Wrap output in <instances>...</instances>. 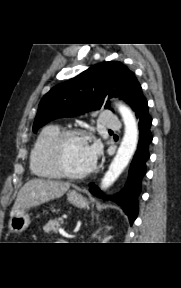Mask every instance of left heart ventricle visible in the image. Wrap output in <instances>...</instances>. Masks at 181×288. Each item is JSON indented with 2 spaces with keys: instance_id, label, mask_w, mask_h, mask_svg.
<instances>
[{
  "instance_id": "1",
  "label": "left heart ventricle",
  "mask_w": 181,
  "mask_h": 288,
  "mask_svg": "<svg viewBox=\"0 0 181 288\" xmlns=\"http://www.w3.org/2000/svg\"><path fill=\"white\" fill-rule=\"evenodd\" d=\"M64 162L73 172L87 170L93 161L88 153V143L84 139H70L64 147Z\"/></svg>"
}]
</instances>
